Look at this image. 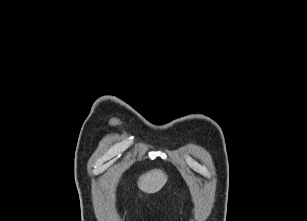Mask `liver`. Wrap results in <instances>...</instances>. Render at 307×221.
<instances>
[{
  "label": "liver",
  "instance_id": "liver-1",
  "mask_svg": "<svg viewBox=\"0 0 307 221\" xmlns=\"http://www.w3.org/2000/svg\"><path fill=\"white\" fill-rule=\"evenodd\" d=\"M167 181V175L160 169L151 170L139 177L138 187L146 193L159 191Z\"/></svg>",
  "mask_w": 307,
  "mask_h": 221
}]
</instances>
